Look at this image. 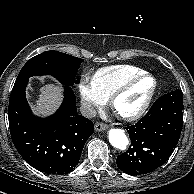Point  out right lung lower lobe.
I'll return each instance as SVG.
<instances>
[{
  "label": "right lung lower lobe",
  "instance_id": "98d812e1",
  "mask_svg": "<svg viewBox=\"0 0 194 194\" xmlns=\"http://www.w3.org/2000/svg\"><path fill=\"white\" fill-rule=\"evenodd\" d=\"M28 78L16 80L9 100L8 119L12 141L23 159L36 169L67 174L78 164L87 139L94 132L89 119L78 115L70 86L59 110L48 118L32 114L25 97Z\"/></svg>",
  "mask_w": 194,
  "mask_h": 194
}]
</instances>
